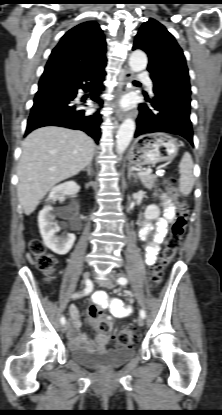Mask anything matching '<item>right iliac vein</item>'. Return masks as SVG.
<instances>
[{"label":"right iliac vein","mask_w":222,"mask_h":415,"mask_svg":"<svg viewBox=\"0 0 222 415\" xmlns=\"http://www.w3.org/2000/svg\"><path fill=\"white\" fill-rule=\"evenodd\" d=\"M89 275H90V273H89V272H86V273L84 274V280H87V279L89 278ZM68 328H69L68 324H63V325L61 326V331H62L63 333H66V332L68 331Z\"/></svg>","instance_id":"right-iliac-vein-1"}]
</instances>
